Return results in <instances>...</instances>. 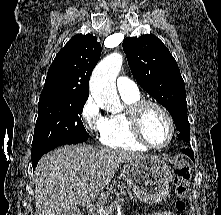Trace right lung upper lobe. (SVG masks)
I'll list each match as a JSON object with an SVG mask.
<instances>
[{"instance_id": "cb5924a9", "label": "right lung upper lobe", "mask_w": 221, "mask_h": 215, "mask_svg": "<svg viewBox=\"0 0 221 215\" xmlns=\"http://www.w3.org/2000/svg\"><path fill=\"white\" fill-rule=\"evenodd\" d=\"M100 54L101 45L96 37L73 36L49 67L39 103L60 98L87 99L90 75Z\"/></svg>"}]
</instances>
